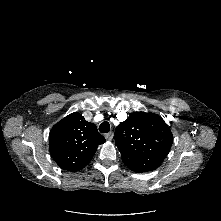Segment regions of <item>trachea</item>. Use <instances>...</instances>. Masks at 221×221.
<instances>
[{
  "mask_svg": "<svg viewBox=\"0 0 221 221\" xmlns=\"http://www.w3.org/2000/svg\"><path fill=\"white\" fill-rule=\"evenodd\" d=\"M109 130H110V124H109V122L104 121V122H102V123L100 124V126H99V131H100L101 133H108Z\"/></svg>",
  "mask_w": 221,
  "mask_h": 221,
  "instance_id": "3493384b",
  "label": "trachea"
}]
</instances>
